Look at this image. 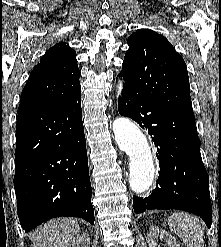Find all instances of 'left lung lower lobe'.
I'll return each mask as SVG.
<instances>
[{
	"label": "left lung lower lobe",
	"instance_id": "0a47b994",
	"mask_svg": "<svg viewBox=\"0 0 221 247\" xmlns=\"http://www.w3.org/2000/svg\"><path fill=\"white\" fill-rule=\"evenodd\" d=\"M118 110L148 130L157 147L160 171L156 188L146 198L133 196L134 212L185 210L200 216L210 228L209 177L200 154L195 117L135 95L127 82Z\"/></svg>",
	"mask_w": 221,
	"mask_h": 247
}]
</instances>
